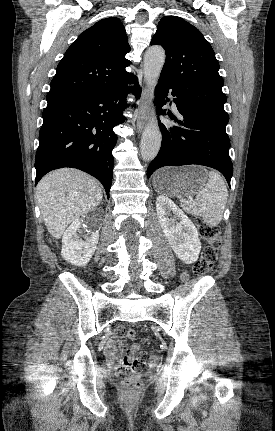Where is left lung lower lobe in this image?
Here are the masks:
<instances>
[{
	"instance_id": "left-lung-lower-lobe-1",
	"label": "left lung lower lobe",
	"mask_w": 275,
	"mask_h": 431,
	"mask_svg": "<svg viewBox=\"0 0 275 431\" xmlns=\"http://www.w3.org/2000/svg\"><path fill=\"white\" fill-rule=\"evenodd\" d=\"M170 89L176 97L173 101L180 114L179 118L161 109L169 100L167 93ZM155 102L158 112L169 115L174 125L159 123L162 131L161 149L150 163L147 177L164 166L198 164L220 171L230 186L233 166L229 156V137L225 131L228 120L194 106L181 97L165 78H160L158 82Z\"/></svg>"
}]
</instances>
